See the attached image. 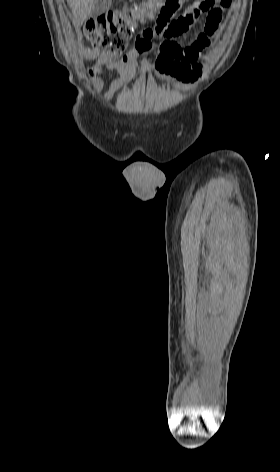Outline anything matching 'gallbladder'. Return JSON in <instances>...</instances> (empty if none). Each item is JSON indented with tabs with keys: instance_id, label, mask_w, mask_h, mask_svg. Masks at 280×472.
<instances>
[{
	"instance_id": "bac80fb5",
	"label": "gallbladder",
	"mask_w": 280,
	"mask_h": 472,
	"mask_svg": "<svg viewBox=\"0 0 280 472\" xmlns=\"http://www.w3.org/2000/svg\"><path fill=\"white\" fill-rule=\"evenodd\" d=\"M112 4V0H94V7L92 10V16H98L107 12Z\"/></svg>"
}]
</instances>
